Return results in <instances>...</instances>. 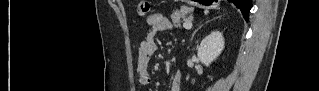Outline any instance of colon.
Wrapping results in <instances>:
<instances>
[{"label":"colon","mask_w":319,"mask_h":91,"mask_svg":"<svg viewBox=\"0 0 319 91\" xmlns=\"http://www.w3.org/2000/svg\"><path fill=\"white\" fill-rule=\"evenodd\" d=\"M138 14L145 16L150 12V3L148 1H140L137 7Z\"/></svg>","instance_id":"colon-1"}]
</instances>
